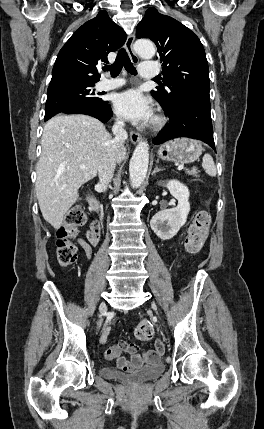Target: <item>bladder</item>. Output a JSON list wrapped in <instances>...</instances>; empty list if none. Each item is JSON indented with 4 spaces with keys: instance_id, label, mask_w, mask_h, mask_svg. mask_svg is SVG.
Segmentation results:
<instances>
[{
    "instance_id": "obj_1",
    "label": "bladder",
    "mask_w": 264,
    "mask_h": 429,
    "mask_svg": "<svg viewBox=\"0 0 264 429\" xmlns=\"http://www.w3.org/2000/svg\"><path fill=\"white\" fill-rule=\"evenodd\" d=\"M164 370L165 365L161 360H158L154 364L147 365L130 372H118L110 368H102L100 370V375L108 379L139 385L158 378L164 372Z\"/></svg>"
}]
</instances>
